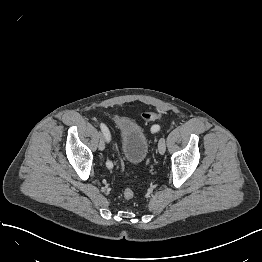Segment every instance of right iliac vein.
<instances>
[{
	"label": "right iliac vein",
	"instance_id": "right-iliac-vein-1",
	"mask_svg": "<svg viewBox=\"0 0 262 262\" xmlns=\"http://www.w3.org/2000/svg\"><path fill=\"white\" fill-rule=\"evenodd\" d=\"M99 150L103 151L105 149V137L104 135H100L99 137V144H98Z\"/></svg>",
	"mask_w": 262,
	"mask_h": 262
}]
</instances>
